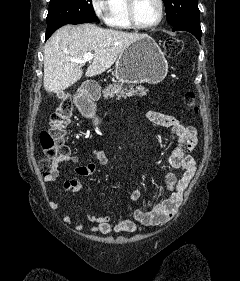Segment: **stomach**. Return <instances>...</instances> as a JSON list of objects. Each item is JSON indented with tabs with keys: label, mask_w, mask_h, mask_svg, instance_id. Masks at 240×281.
<instances>
[{
	"label": "stomach",
	"mask_w": 240,
	"mask_h": 281,
	"mask_svg": "<svg viewBox=\"0 0 240 281\" xmlns=\"http://www.w3.org/2000/svg\"><path fill=\"white\" fill-rule=\"evenodd\" d=\"M167 72L168 63L160 47L148 35L126 48L115 65V77L122 83L156 84L166 77ZM86 113L94 118V107L89 106Z\"/></svg>",
	"instance_id": "0dacf381"
}]
</instances>
